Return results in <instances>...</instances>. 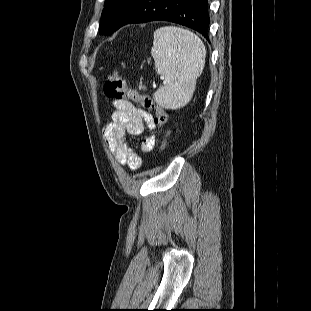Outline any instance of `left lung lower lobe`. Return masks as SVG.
I'll list each match as a JSON object with an SVG mask.
<instances>
[{
	"label": "left lung lower lobe",
	"instance_id": "obj_1",
	"mask_svg": "<svg viewBox=\"0 0 311 311\" xmlns=\"http://www.w3.org/2000/svg\"><path fill=\"white\" fill-rule=\"evenodd\" d=\"M169 21L192 28L208 37V0H130L115 29L126 24Z\"/></svg>",
	"mask_w": 311,
	"mask_h": 311
}]
</instances>
